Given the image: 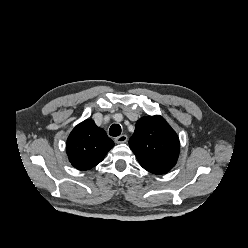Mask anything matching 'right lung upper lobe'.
Here are the masks:
<instances>
[{
	"mask_svg": "<svg viewBox=\"0 0 248 248\" xmlns=\"http://www.w3.org/2000/svg\"><path fill=\"white\" fill-rule=\"evenodd\" d=\"M114 146L106 132L91 119L78 124L67 139V155L78 170H88L103 161Z\"/></svg>",
	"mask_w": 248,
	"mask_h": 248,
	"instance_id": "obj_1",
	"label": "right lung upper lobe"
}]
</instances>
